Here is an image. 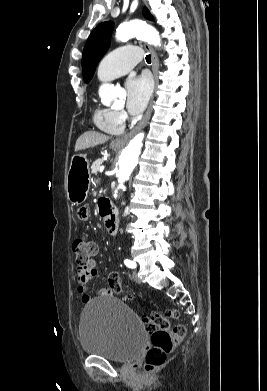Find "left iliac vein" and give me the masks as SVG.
I'll use <instances>...</instances> for the list:
<instances>
[{"label": "left iliac vein", "instance_id": "1", "mask_svg": "<svg viewBox=\"0 0 267 391\" xmlns=\"http://www.w3.org/2000/svg\"><path fill=\"white\" fill-rule=\"evenodd\" d=\"M132 279L136 282V283H141V280L140 278L138 277V272L136 270L133 271L132 273Z\"/></svg>", "mask_w": 267, "mask_h": 391}]
</instances>
